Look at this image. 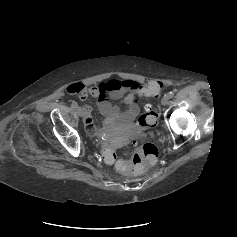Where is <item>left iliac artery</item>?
I'll list each match as a JSON object with an SVG mask.
<instances>
[{"label":"left iliac artery","mask_w":237,"mask_h":237,"mask_svg":"<svg viewBox=\"0 0 237 237\" xmlns=\"http://www.w3.org/2000/svg\"><path fill=\"white\" fill-rule=\"evenodd\" d=\"M167 96H168L169 98H172V97L174 96V93L171 91V92H169V93L167 94Z\"/></svg>","instance_id":"left-iliac-artery-1"}]
</instances>
